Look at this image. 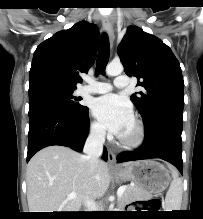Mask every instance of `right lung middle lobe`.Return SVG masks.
Listing matches in <instances>:
<instances>
[{
  "instance_id": "obj_1",
  "label": "right lung middle lobe",
  "mask_w": 203,
  "mask_h": 219,
  "mask_svg": "<svg viewBox=\"0 0 203 219\" xmlns=\"http://www.w3.org/2000/svg\"><path fill=\"white\" fill-rule=\"evenodd\" d=\"M75 87L51 80H40L29 83V104L35 102L57 104L70 112H82L87 109L78 103L80 100L72 94Z\"/></svg>"
}]
</instances>
